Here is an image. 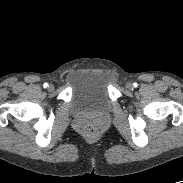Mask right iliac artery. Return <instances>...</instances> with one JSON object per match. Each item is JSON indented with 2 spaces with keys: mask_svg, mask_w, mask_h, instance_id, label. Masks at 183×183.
<instances>
[{
  "mask_svg": "<svg viewBox=\"0 0 183 183\" xmlns=\"http://www.w3.org/2000/svg\"><path fill=\"white\" fill-rule=\"evenodd\" d=\"M47 86H48V84H47V83H44V84H43V87H44V88H46Z\"/></svg>",
  "mask_w": 183,
  "mask_h": 183,
  "instance_id": "82829eb1",
  "label": "right iliac artery"
}]
</instances>
